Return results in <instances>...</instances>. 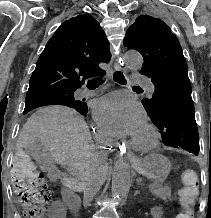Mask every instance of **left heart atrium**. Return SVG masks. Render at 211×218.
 <instances>
[{
    "label": "left heart atrium",
    "mask_w": 211,
    "mask_h": 218,
    "mask_svg": "<svg viewBox=\"0 0 211 218\" xmlns=\"http://www.w3.org/2000/svg\"><path fill=\"white\" fill-rule=\"evenodd\" d=\"M94 117L101 131L111 137L135 136L145 127V113L141 105L120 92L97 100Z\"/></svg>",
    "instance_id": "left-heart-atrium-1"
}]
</instances>
